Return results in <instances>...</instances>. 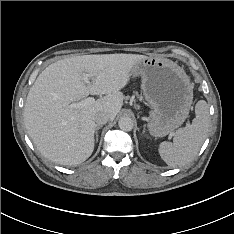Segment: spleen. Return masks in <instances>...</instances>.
I'll list each match as a JSON object with an SVG mask.
<instances>
[{"label":"spleen","instance_id":"spleen-1","mask_svg":"<svg viewBox=\"0 0 234 234\" xmlns=\"http://www.w3.org/2000/svg\"><path fill=\"white\" fill-rule=\"evenodd\" d=\"M195 118L191 125L176 131L173 143L164 141L159 145L161 158L170 167L184 166L198 154L210 126L209 107L200 100L195 106Z\"/></svg>","mask_w":234,"mask_h":234}]
</instances>
